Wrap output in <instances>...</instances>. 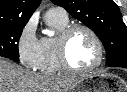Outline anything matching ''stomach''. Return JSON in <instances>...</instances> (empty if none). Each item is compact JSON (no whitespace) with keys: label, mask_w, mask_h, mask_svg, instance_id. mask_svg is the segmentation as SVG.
<instances>
[{"label":"stomach","mask_w":127,"mask_h":92,"mask_svg":"<svg viewBox=\"0 0 127 92\" xmlns=\"http://www.w3.org/2000/svg\"><path fill=\"white\" fill-rule=\"evenodd\" d=\"M114 76L101 72L90 73L76 84L72 92H113L110 84Z\"/></svg>","instance_id":"stomach-1"}]
</instances>
